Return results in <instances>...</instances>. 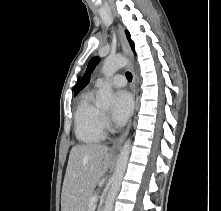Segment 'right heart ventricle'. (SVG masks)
Instances as JSON below:
<instances>
[{"mask_svg": "<svg viewBox=\"0 0 221 211\" xmlns=\"http://www.w3.org/2000/svg\"><path fill=\"white\" fill-rule=\"evenodd\" d=\"M101 111L93 101V91H84L77 102L74 112L75 136L84 144H95L103 137Z\"/></svg>", "mask_w": 221, "mask_h": 211, "instance_id": "obj_1", "label": "right heart ventricle"}]
</instances>
